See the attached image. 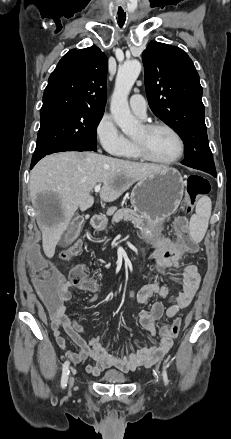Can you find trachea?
<instances>
[{
	"label": "trachea",
	"mask_w": 231,
	"mask_h": 439,
	"mask_svg": "<svg viewBox=\"0 0 231 439\" xmlns=\"http://www.w3.org/2000/svg\"><path fill=\"white\" fill-rule=\"evenodd\" d=\"M125 19H126V17H125ZM124 16L123 17H118V25L120 26V27H122L123 25H124Z\"/></svg>",
	"instance_id": "3493384b"
}]
</instances>
